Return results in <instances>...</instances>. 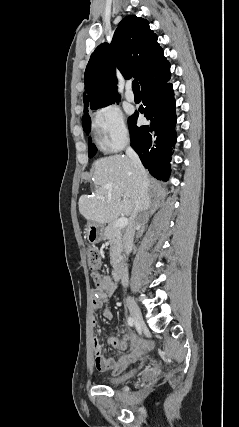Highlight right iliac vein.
<instances>
[{
  "mask_svg": "<svg viewBox=\"0 0 239 427\" xmlns=\"http://www.w3.org/2000/svg\"><path fill=\"white\" fill-rule=\"evenodd\" d=\"M126 303H127L128 309H129L130 314H131L132 318L134 319V321L137 324L142 325L143 324V317H142L141 310H140L139 306L137 305V303L134 301V299L132 297H127Z\"/></svg>",
  "mask_w": 239,
  "mask_h": 427,
  "instance_id": "63e3f726",
  "label": "right iliac vein"
}]
</instances>
